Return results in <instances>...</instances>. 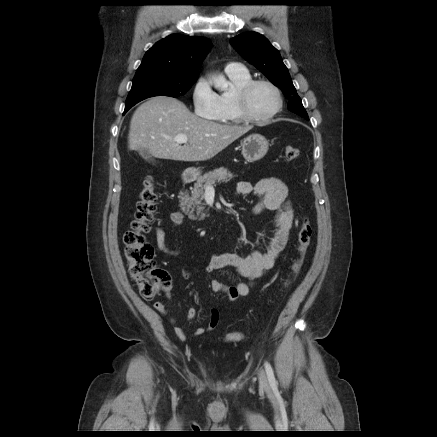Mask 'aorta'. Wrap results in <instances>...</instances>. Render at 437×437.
<instances>
[{"instance_id": "aorta-1", "label": "aorta", "mask_w": 437, "mask_h": 437, "mask_svg": "<svg viewBox=\"0 0 437 437\" xmlns=\"http://www.w3.org/2000/svg\"><path fill=\"white\" fill-rule=\"evenodd\" d=\"M214 87L218 90H224L228 87L229 83L225 79L214 80Z\"/></svg>"}]
</instances>
